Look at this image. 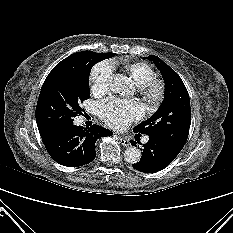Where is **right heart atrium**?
I'll list each match as a JSON object with an SVG mask.
<instances>
[{
    "instance_id": "obj_1",
    "label": "right heart atrium",
    "mask_w": 233,
    "mask_h": 233,
    "mask_svg": "<svg viewBox=\"0 0 233 233\" xmlns=\"http://www.w3.org/2000/svg\"><path fill=\"white\" fill-rule=\"evenodd\" d=\"M114 70L113 63L108 60L101 61L92 68L90 80L94 94L101 95L109 89Z\"/></svg>"
}]
</instances>
